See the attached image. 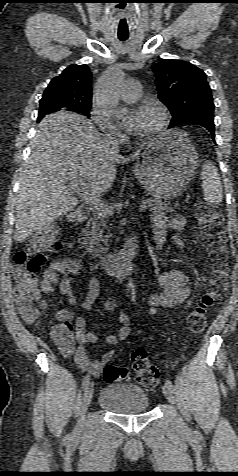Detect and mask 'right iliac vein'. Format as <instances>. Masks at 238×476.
I'll list each match as a JSON object with an SVG mask.
<instances>
[{
  "instance_id": "obj_1",
  "label": "right iliac vein",
  "mask_w": 238,
  "mask_h": 476,
  "mask_svg": "<svg viewBox=\"0 0 238 476\" xmlns=\"http://www.w3.org/2000/svg\"><path fill=\"white\" fill-rule=\"evenodd\" d=\"M93 391H94L93 384H92V383H89V384L86 386L85 391H84V396H83L82 406H81L80 418H79V421H78V423H77V425H76V427H75L74 436H79L80 433H81V431H82L85 412H86L88 406L90 405V402H91V399H92V396H93Z\"/></svg>"
}]
</instances>
